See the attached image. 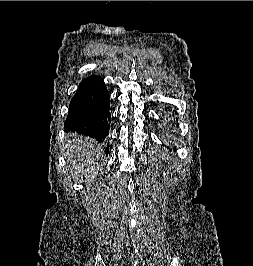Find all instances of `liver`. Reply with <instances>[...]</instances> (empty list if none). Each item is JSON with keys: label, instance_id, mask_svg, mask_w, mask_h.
Masks as SVG:
<instances>
[{"label": "liver", "instance_id": "liver-1", "mask_svg": "<svg viewBox=\"0 0 253 266\" xmlns=\"http://www.w3.org/2000/svg\"><path fill=\"white\" fill-rule=\"evenodd\" d=\"M68 154L69 159L78 169H83L84 166L95 170V164L101 158V147L89 137H83L80 135H73L68 140ZM93 175L88 176L87 179L92 180Z\"/></svg>", "mask_w": 253, "mask_h": 266}]
</instances>
